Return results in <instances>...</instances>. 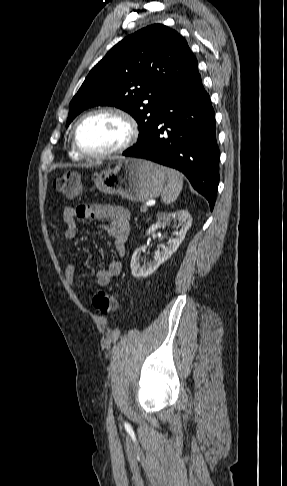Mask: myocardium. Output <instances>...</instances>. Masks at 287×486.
I'll return each mask as SVG.
<instances>
[{
	"label": "myocardium",
	"instance_id": "1",
	"mask_svg": "<svg viewBox=\"0 0 287 486\" xmlns=\"http://www.w3.org/2000/svg\"><path fill=\"white\" fill-rule=\"evenodd\" d=\"M98 114H113L119 117L120 119H122L127 127V136L122 144H120L119 146L113 149L103 151V152H89L83 149L79 144L78 131L81 124L85 120ZM138 135H139L138 124L130 113L118 107H113V106L100 107L85 113L77 120L72 131V147L82 157L90 158V159H102L126 151L136 142Z\"/></svg>",
	"mask_w": 287,
	"mask_h": 486
}]
</instances>
